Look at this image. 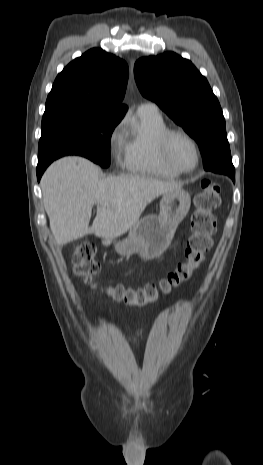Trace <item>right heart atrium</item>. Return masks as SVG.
<instances>
[{
	"mask_svg": "<svg viewBox=\"0 0 263 465\" xmlns=\"http://www.w3.org/2000/svg\"><path fill=\"white\" fill-rule=\"evenodd\" d=\"M123 121L116 123L108 135V146L111 154L120 161L123 150Z\"/></svg>",
	"mask_w": 263,
	"mask_h": 465,
	"instance_id": "1",
	"label": "right heart atrium"
}]
</instances>
